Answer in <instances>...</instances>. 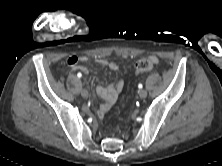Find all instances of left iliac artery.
<instances>
[{
	"label": "left iliac artery",
	"instance_id": "obj_1",
	"mask_svg": "<svg viewBox=\"0 0 222 166\" xmlns=\"http://www.w3.org/2000/svg\"><path fill=\"white\" fill-rule=\"evenodd\" d=\"M138 87H139V88H142L143 86H142V84H139Z\"/></svg>",
	"mask_w": 222,
	"mask_h": 166
}]
</instances>
